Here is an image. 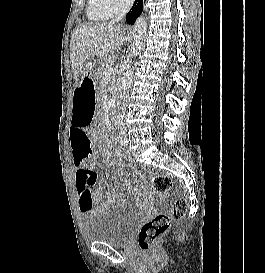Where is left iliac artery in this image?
<instances>
[{
	"mask_svg": "<svg viewBox=\"0 0 265 273\" xmlns=\"http://www.w3.org/2000/svg\"><path fill=\"white\" fill-rule=\"evenodd\" d=\"M119 125H123V122H120Z\"/></svg>",
	"mask_w": 265,
	"mask_h": 273,
	"instance_id": "left-iliac-artery-1",
	"label": "left iliac artery"
}]
</instances>
